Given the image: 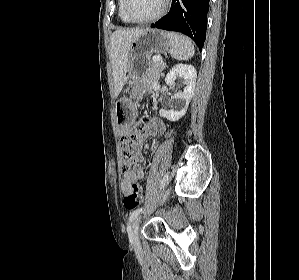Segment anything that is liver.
I'll list each match as a JSON object with an SVG mask.
<instances>
[{
    "label": "liver",
    "mask_w": 299,
    "mask_h": 280,
    "mask_svg": "<svg viewBox=\"0 0 299 280\" xmlns=\"http://www.w3.org/2000/svg\"><path fill=\"white\" fill-rule=\"evenodd\" d=\"M145 29H120L110 37V60L114 79V98H117L126 82L129 45Z\"/></svg>",
    "instance_id": "1"
}]
</instances>
